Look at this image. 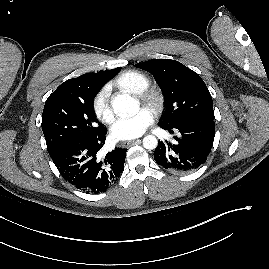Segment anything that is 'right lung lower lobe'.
I'll use <instances>...</instances> for the list:
<instances>
[{"label":"right lung lower lobe","instance_id":"1","mask_svg":"<svg viewBox=\"0 0 269 269\" xmlns=\"http://www.w3.org/2000/svg\"><path fill=\"white\" fill-rule=\"evenodd\" d=\"M106 128L96 136L71 142L51 156L62 177L75 188L91 194L105 192L124 170L127 149L115 148L100 157Z\"/></svg>","mask_w":269,"mask_h":269}]
</instances>
